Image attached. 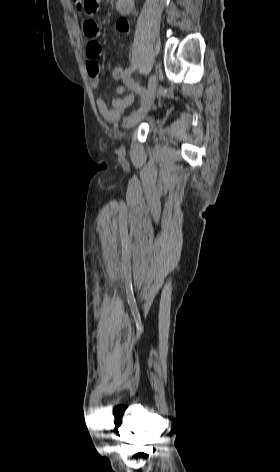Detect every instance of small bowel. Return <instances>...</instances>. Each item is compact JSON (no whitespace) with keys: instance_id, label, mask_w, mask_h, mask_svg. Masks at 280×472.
<instances>
[{"instance_id":"c3829d8e","label":"small bowel","mask_w":280,"mask_h":472,"mask_svg":"<svg viewBox=\"0 0 280 472\" xmlns=\"http://www.w3.org/2000/svg\"><path fill=\"white\" fill-rule=\"evenodd\" d=\"M77 8L82 9L77 5ZM134 8V0H117L116 2V11L120 15V18L116 22V29L122 33L130 32V24L126 19V16L129 15ZM82 29L84 35L89 39V42L86 47V57H87V72L91 80V86L96 88L99 84L100 76V64L99 57L101 54V45L97 41L99 36V27L97 23L90 18H87L83 21ZM126 87L120 85L117 87L116 92L118 94L124 93ZM134 102V97L131 95L115 98L112 101V108L109 109L106 103L98 99L96 101L97 109L99 113L108 121L115 122L119 119L124 110L129 107Z\"/></svg>"}]
</instances>
